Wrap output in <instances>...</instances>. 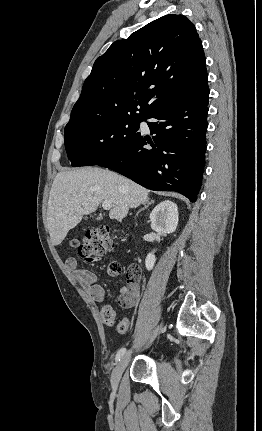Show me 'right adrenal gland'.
<instances>
[{"instance_id": "obj_1", "label": "right adrenal gland", "mask_w": 262, "mask_h": 431, "mask_svg": "<svg viewBox=\"0 0 262 431\" xmlns=\"http://www.w3.org/2000/svg\"><path fill=\"white\" fill-rule=\"evenodd\" d=\"M152 203H154V201L153 200H151V201H147L146 203H144V207L143 208H141L138 212H137V214H136V217L139 215V213L142 211V210H145L149 205H151Z\"/></svg>"}]
</instances>
